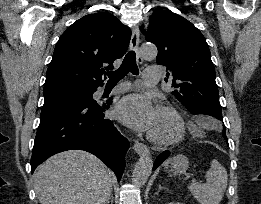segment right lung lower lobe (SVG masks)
Returning a JSON list of instances; mask_svg holds the SVG:
<instances>
[{
	"mask_svg": "<svg viewBox=\"0 0 261 204\" xmlns=\"http://www.w3.org/2000/svg\"><path fill=\"white\" fill-rule=\"evenodd\" d=\"M96 90L89 96L44 103L31 158L32 173L50 156L80 149L96 155L120 180L129 142L105 119L103 112L109 106L93 100Z\"/></svg>",
	"mask_w": 261,
	"mask_h": 204,
	"instance_id": "obj_1",
	"label": "right lung lower lobe"
}]
</instances>
